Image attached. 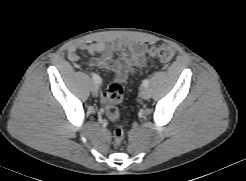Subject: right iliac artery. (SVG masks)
Returning <instances> with one entry per match:
<instances>
[{
	"label": "right iliac artery",
	"mask_w": 246,
	"mask_h": 181,
	"mask_svg": "<svg viewBox=\"0 0 246 181\" xmlns=\"http://www.w3.org/2000/svg\"><path fill=\"white\" fill-rule=\"evenodd\" d=\"M91 75H92V79L96 84H101V78L97 74L92 73Z\"/></svg>",
	"instance_id": "right-iliac-artery-1"
}]
</instances>
